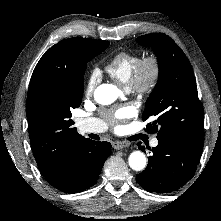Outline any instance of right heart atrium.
<instances>
[{"mask_svg": "<svg viewBox=\"0 0 221 221\" xmlns=\"http://www.w3.org/2000/svg\"><path fill=\"white\" fill-rule=\"evenodd\" d=\"M99 81V74L97 71L93 70L88 76L86 86H85V94L87 96L91 95L96 88Z\"/></svg>", "mask_w": 221, "mask_h": 221, "instance_id": "right-heart-atrium-1", "label": "right heart atrium"}]
</instances>
